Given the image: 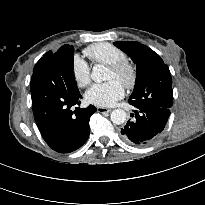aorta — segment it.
<instances>
[{
    "instance_id": "obj_1",
    "label": "aorta",
    "mask_w": 205,
    "mask_h": 205,
    "mask_svg": "<svg viewBox=\"0 0 205 205\" xmlns=\"http://www.w3.org/2000/svg\"><path fill=\"white\" fill-rule=\"evenodd\" d=\"M91 78L97 83L106 80L105 67L103 65H95L92 69ZM110 119L114 124H123L126 121V112L122 109H115L111 112Z\"/></svg>"
}]
</instances>
